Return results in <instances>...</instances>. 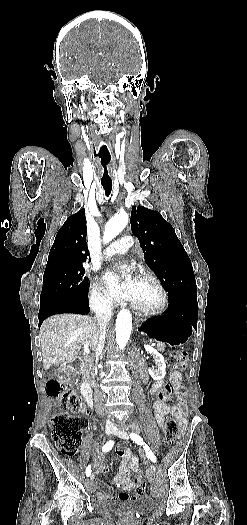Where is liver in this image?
<instances>
[{
  "mask_svg": "<svg viewBox=\"0 0 247 525\" xmlns=\"http://www.w3.org/2000/svg\"><path fill=\"white\" fill-rule=\"evenodd\" d=\"M39 333L42 363L48 371L60 363H73L83 347L95 351L98 323L95 317L64 313L45 319Z\"/></svg>",
  "mask_w": 247,
  "mask_h": 525,
  "instance_id": "6515ba94",
  "label": "liver"
}]
</instances>
